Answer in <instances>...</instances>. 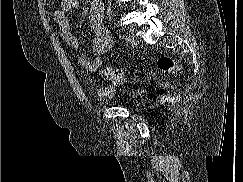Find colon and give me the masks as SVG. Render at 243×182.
<instances>
[{"label":"colon","mask_w":243,"mask_h":182,"mask_svg":"<svg viewBox=\"0 0 243 182\" xmlns=\"http://www.w3.org/2000/svg\"><path fill=\"white\" fill-rule=\"evenodd\" d=\"M158 68L163 72H174L179 69L178 63L168 56H162L157 61ZM101 76L110 81H122L127 72L124 69L106 67L101 70Z\"/></svg>","instance_id":"colon-1"}]
</instances>
